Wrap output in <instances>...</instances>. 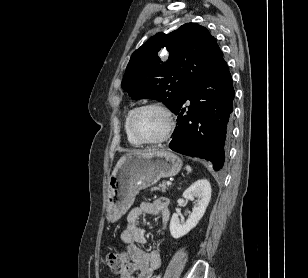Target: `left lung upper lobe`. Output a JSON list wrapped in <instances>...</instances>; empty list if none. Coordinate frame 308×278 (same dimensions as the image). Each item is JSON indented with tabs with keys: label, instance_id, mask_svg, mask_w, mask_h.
Segmentation results:
<instances>
[{
	"label": "left lung upper lobe",
	"instance_id": "obj_1",
	"mask_svg": "<svg viewBox=\"0 0 308 278\" xmlns=\"http://www.w3.org/2000/svg\"><path fill=\"white\" fill-rule=\"evenodd\" d=\"M223 59L209 31L196 23L157 33L131 56L122 88L133 99L163 101L174 111L188 90Z\"/></svg>",
	"mask_w": 308,
	"mask_h": 278
}]
</instances>
